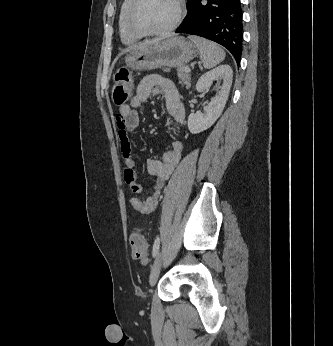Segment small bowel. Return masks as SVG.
<instances>
[{"instance_id": "c3829d8e", "label": "small bowel", "mask_w": 333, "mask_h": 346, "mask_svg": "<svg viewBox=\"0 0 333 346\" xmlns=\"http://www.w3.org/2000/svg\"><path fill=\"white\" fill-rule=\"evenodd\" d=\"M159 95L165 99L166 111L171 118L174 132L179 134L185 117L184 104L175 84L170 79L155 74L147 75L140 81L129 105L120 108V115L116 121L121 154L125 164L124 180L134 194L143 192V187L137 182L135 171L137 165L132 156L129 140V133L135 131L139 124V114L135 108L144 105L149 99ZM182 150V142L175 140L172 143V149L166 151L161 160L152 158L147 160V171L154 177V183L151 187L152 195L145 199L132 197L130 204L135 211L141 214H149L156 209L164 183L178 165Z\"/></svg>"}]
</instances>
